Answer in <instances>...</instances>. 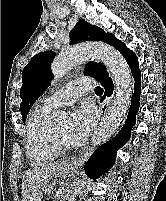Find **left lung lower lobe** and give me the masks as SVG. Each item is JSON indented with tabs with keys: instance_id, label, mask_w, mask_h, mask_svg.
I'll return each instance as SVG.
<instances>
[{
	"instance_id": "left-lung-lower-lobe-1",
	"label": "left lung lower lobe",
	"mask_w": 166,
	"mask_h": 201,
	"mask_svg": "<svg viewBox=\"0 0 166 201\" xmlns=\"http://www.w3.org/2000/svg\"><path fill=\"white\" fill-rule=\"evenodd\" d=\"M121 54L126 59L127 63L131 67V72L135 80L134 85V94L132 97V104L128 113L127 120L125 125L120 130L115 138L103 144L88 160L85 164L86 174L96 179L99 176L103 175L105 172H108L109 169L114 165L116 153L130 138V131L136 122V114L139 109V99L141 93L140 85V70L138 65V59L133 51L129 48H124ZM102 85L105 88L104 97L110 96L113 91V83L109 75L106 74L101 78H98Z\"/></svg>"
}]
</instances>
